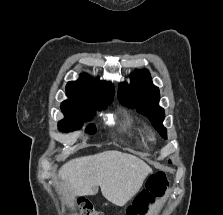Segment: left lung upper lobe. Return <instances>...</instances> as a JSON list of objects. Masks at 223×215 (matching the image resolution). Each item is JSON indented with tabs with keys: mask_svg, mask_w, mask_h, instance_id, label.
<instances>
[{
	"mask_svg": "<svg viewBox=\"0 0 223 215\" xmlns=\"http://www.w3.org/2000/svg\"><path fill=\"white\" fill-rule=\"evenodd\" d=\"M130 80V84L124 82L119 85L120 102L147 116L154 128L166 139V128L162 125L164 110L158 105L159 89L152 84L149 71L136 70L130 75Z\"/></svg>",
	"mask_w": 223,
	"mask_h": 215,
	"instance_id": "left-lung-upper-lobe-1",
	"label": "left lung upper lobe"
}]
</instances>
